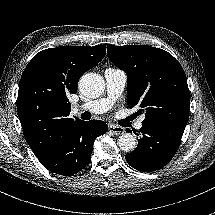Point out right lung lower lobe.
<instances>
[{"mask_svg": "<svg viewBox=\"0 0 215 215\" xmlns=\"http://www.w3.org/2000/svg\"><path fill=\"white\" fill-rule=\"evenodd\" d=\"M107 130L100 120H75L39 161L53 173L74 175L89 163L94 140Z\"/></svg>", "mask_w": 215, "mask_h": 215, "instance_id": "98d812e1", "label": "right lung lower lobe"}]
</instances>
